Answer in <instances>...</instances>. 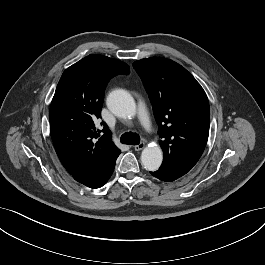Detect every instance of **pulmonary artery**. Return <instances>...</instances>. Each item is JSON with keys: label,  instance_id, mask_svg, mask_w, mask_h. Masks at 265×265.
<instances>
[{"label": "pulmonary artery", "instance_id": "1", "mask_svg": "<svg viewBox=\"0 0 265 265\" xmlns=\"http://www.w3.org/2000/svg\"><path fill=\"white\" fill-rule=\"evenodd\" d=\"M138 111H139V114L142 118V122H143L144 127L146 128L147 131H150L152 125H151V122L149 120L145 104L141 100L138 102Z\"/></svg>", "mask_w": 265, "mask_h": 265}]
</instances>
